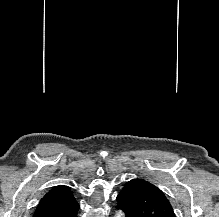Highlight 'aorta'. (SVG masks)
<instances>
[{"instance_id":"obj_1","label":"aorta","mask_w":219,"mask_h":217,"mask_svg":"<svg viewBox=\"0 0 219 217\" xmlns=\"http://www.w3.org/2000/svg\"><path fill=\"white\" fill-rule=\"evenodd\" d=\"M117 217H124V214L120 211L117 213Z\"/></svg>"}]
</instances>
